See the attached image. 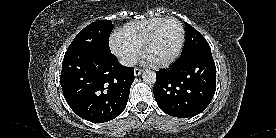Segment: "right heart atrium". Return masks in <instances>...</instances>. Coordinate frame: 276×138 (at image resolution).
Masks as SVG:
<instances>
[{
  "instance_id": "right-heart-atrium-1",
  "label": "right heart atrium",
  "mask_w": 276,
  "mask_h": 138,
  "mask_svg": "<svg viewBox=\"0 0 276 138\" xmlns=\"http://www.w3.org/2000/svg\"><path fill=\"white\" fill-rule=\"evenodd\" d=\"M113 53L118 56L125 65H132L137 60L140 50L133 45L120 40L117 36L110 40Z\"/></svg>"
}]
</instances>
